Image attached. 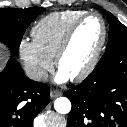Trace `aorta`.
I'll return each mask as SVG.
<instances>
[{"label":"aorta","instance_id":"obj_1","mask_svg":"<svg viewBox=\"0 0 127 127\" xmlns=\"http://www.w3.org/2000/svg\"><path fill=\"white\" fill-rule=\"evenodd\" d=\"M54 108L60 114H68L71 110V102L66 97H59L54 102Z\"/></svg>","mask_w":127,"mask_h":127}]
</instances>
